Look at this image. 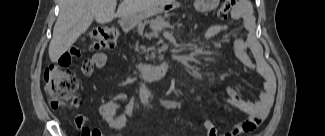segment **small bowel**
I'll use <instances>...</instances> for the list:
<instances>
[{
  "mask_svg": "<svg viewBox=\"0 0 325 136\" xmlns=\"http://www.w3.org/2000/svg\"><path fill=\"white\" fill-rule=\"evenodd\" d=\"M230 31V26L228 24H213L209 26L205 31V39L209 40L213 37ZM233 44L238 52L241 62L251 67L252 61L248 55V50L250 49L249 43L241 36H235L233 38ZM66 53H60L59 63L62 69H68L67 73L73 75V78H77L76 70L71 68V61L81 60L82 59V44H67ZM107 56L105 53L98 52L95 53L92 58L84 57L83 58V67L82 71L85 76H90L94 69L103 68L106 65ZM258 73L264 79L265 83L260 91L258 98L255 101H249L242 98L241 94L234 88L225 87L224 92L226 94L225 102L227 105L236 108L245 114L247 118L237 124H235L231 130L223 133L224 136H236L244 133L253 131L258 123L263 120L273 102V93H274V77L268 71L265 64L260 61L257 66ZM127 100V96L124 93H118L112 96L109 100L100 105L98 113L102 120L106 122L113 129H121L127 122V119L134 113L136 109V101L131 99L124 108L118 112L119 107L122 103ZM200 98L198 96H189L186 98H180L172 100L167 104L169 108H180L189 103L198 104ZM76 106V104H74ZM76 125L83 131L89 129L85 126L86 116L78 115L75 118ZM204 128L208 136H217L218 130L214 122L207 118L204 121Z\"/></svg>",
  "mask_w": 325,
  "mask_h": 136,
  "instance_id": "1",
  "label": "small bowel"
}]
</instances>
